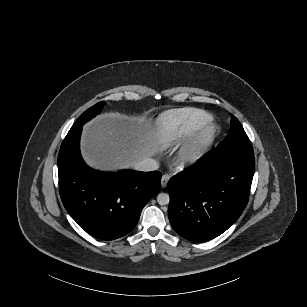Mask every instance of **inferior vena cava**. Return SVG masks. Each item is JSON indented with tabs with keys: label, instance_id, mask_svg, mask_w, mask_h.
<instances>
[{
	"label": "inferior vena cava",
	"instance_id": "602c4592",
	"mask_svg": "<svg viewBox=\"0 0 307 307\" xmlns=\"http://www.w3.org/2000/svg\"><path fill=\"white\" fill-rule=\"evenodd\" d=\"M134 170L139 172H150L158 168V163L152 158H146L134 165Z\"/></svg>",
	"mask_w": 307,
	"mask_h": 307
}]
</instances>
